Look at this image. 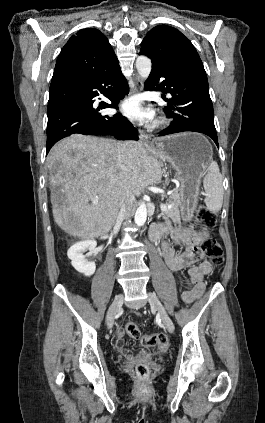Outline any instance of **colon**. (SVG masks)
<instances>
[{"label": "colon", "instance_id": "1", "mask_svg": "<svg viewBox=\"0 0 265 423\" xmlns=\"http://www.w3.org/2000/svg\"><path fill=\"white\" fill-rule=\"evenodd\" d=\"M200 233L202 235L205 229L213 228L216 224V214L205 207L198 210ZM201 249L206 258L214 265H221L224 261V253L220 243L212 237H203ZM127 333L143 346L153 349L156 352H163L167 349L169 342L166 335L162 333L145 334L134 322H128L126 325ZM136 376L140 380H145L150 375L147 365L140 363L135 368Z\"/></svg>", "mask_w": 265, "mask_h": 423}]
</instances>
